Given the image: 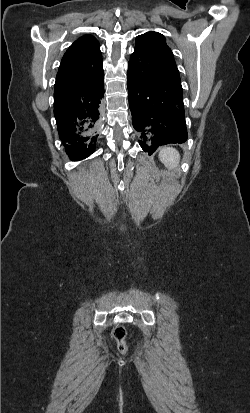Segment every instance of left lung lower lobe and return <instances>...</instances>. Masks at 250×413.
Returning a JSON list of instances; mask_svg holds the SVG:
<instances>
[{
	"mask_svg": "<svg viewBox=\"0 0 250 413\" xmlns=\"http://www.w3.org/2000/svg\"><path fill=\"white\" fill-rule=\"evenodd\" d=\"M128 94L139 144L151 155L160 145L183 143L187 129L179 72L171 50L145 37L128 63Z\"/></svg>",
	"mask_w": 250,
	"mask_h": 413,
	"instance_id": "1",
	"label": "left lung lower lobe"
}]
</instances>
